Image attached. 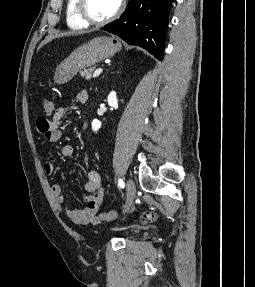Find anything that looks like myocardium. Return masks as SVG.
Masks as SVG:
<instances>
[{
	"instance_id": "myocardium-1",
	"label": "myocardium",
	"mask_w": 255,
	"mask_h": 287,
	"mask_svg": "<svg viewBox=\"0 0 255 287\" xmlns=\"http://www.w3.org/2000/svg\"><path fill=\"white\" fill-rule=\"evenodd\" d=\"M91 23H94L93 21ZM94 33V32H89ZM88 39H96V38H88ZM110 39H124V38H110ZM130 48H143V47H130Z\"/></svg>"
}]
</instances>
